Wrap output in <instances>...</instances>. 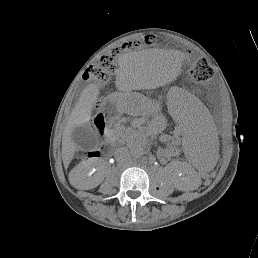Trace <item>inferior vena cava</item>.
I'll use <instances>...</instances> for the list:
<instances>
[{
    "mask_svg": "<svg viewBox=\"0 0 258 258\" xmlns=\"http://www.w3.org/2000/svg\"><path fill=\"white\" fill-rule=\"evenodd\" d=\"M128 152L125 149H118L115 156L119 163H124L128 157Z\"/></svg>",
    "mask_w": 258,
    "mask_h": 258,
    "instance_id": "1",
    "label": "inferior vena cava"
}]
</instances>
